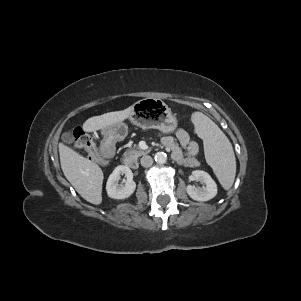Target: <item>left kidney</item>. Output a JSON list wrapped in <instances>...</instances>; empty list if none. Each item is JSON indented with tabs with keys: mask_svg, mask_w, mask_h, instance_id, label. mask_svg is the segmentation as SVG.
Wrapping results in <instances>:
<instances>
[{
	"mask_svg": "<svg viewBox=\"0 0 301 301\" xmlns=\"http://www.w3.org/2000/svg\"><path fill=\"white\" fill-rule=\"evenodd\" d=\"M192 175L195 180L201 181L205 184L202 188H197L192 185L187 186V193L193 200L208 201L216 196L217 185L207 172L195 170L192 172Z\"/></svg>",
	"mask_w": 301,
	"mask_h": 301,
	"instance_id": "obj_1",
	"label": "left kidney"
}]
</instances>
